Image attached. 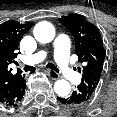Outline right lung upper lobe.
I'll use <instances>...</instances> for the list:
<instances>
[{"label":"right lung upper lobe","instance_id":"obj_1","mask_svg":"<svg viewBox=\"0 0 117 117\" xmlns=\"http://www.w3.org/2000/svg\"><path fill=\"white\" fill-rule=\"evenodd\" d=\"M32 23L20 24L9 20L0 25V100L4 98L13 84L21 79V71L12 74L9 64L15 62L21 37L31 28Z\"/></svg>","mask_w":117,"mask_h":117}]
</instances>
